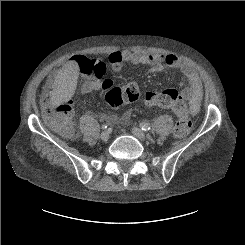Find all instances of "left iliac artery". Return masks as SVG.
Masks as SVG:
<instances>
[{"label":"left iliac artery","instance_id":"obj_1","mask_svg":"<svg viewBox=\"0 0 245 245\" xmlns=\"http://www.w3.org/2000/svg\"><path fill=\"white\" fill-rule=\"evenodd\" d=\"M140 127H141V129H142L143 131H148V130L151 129V128H150V125H149L148 123H145V122H142V123L140 124Z\"/></svg>","mask_w":245,"mask_h":245}]
</instances>
